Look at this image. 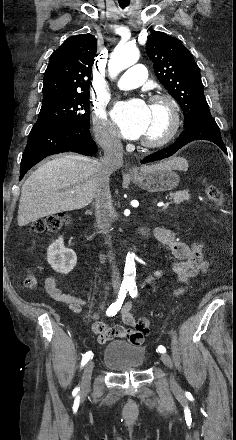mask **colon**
<instances>
[{"instance_id":"1","label":"colon","mask_w":236,"mask_h":440,"mask_svg":"<svg viewBox=\"0 0 236 440\" xmlns=\"http://www.w3.org/2000/svg\"><path fill=\"white\" fill-rule=\"evenodd\" d=\"M205 192L210 198V200L216 204L220 205L223 201V195L220 189L208 182L204 181ZM68 222V217L65 215H51L41 220H37L32 225V231L35 233H51L59 230ZM25 285L32 288L36 285V279L33 275H28L24 281ZM135 330L141 332V337L139 339H128L132 343L142 340L146 337L149 332V321L144 318H140L136 324Z\"/></svg>"}]
</instances>
